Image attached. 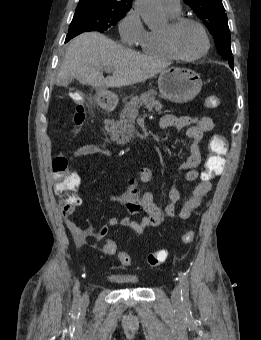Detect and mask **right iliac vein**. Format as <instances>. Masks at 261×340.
Wrapping results in <instances>:
<instances>
[{
  "label": "right iliac vein",
  "instance_id": "right-iliac-vein-1",
  "mask_svg": "<svg viewBox=\"0 0 261 340\" xmlns=\"http://www.w3.org/2000/svg\"><path fill=\"white\" fill-rule=\"evenodd\" d=\"M87 300H88V295L85 293V294L83 295V301L86 302Z\"/></svg>",
  "mask_w": 261,
  "mask_h": 340
}]
</instances>
